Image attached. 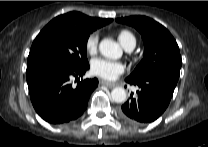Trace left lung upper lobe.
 <instances>
[{
  "label": "left lung upper lobe",
  "mask_w": 208,
  "mask_h": 147,
  "mask_svg": "<svg viewBox=\"0 0 208 147\" xmlns=\"http://www.w3.org/2000/svg\"><path fill=\"white\" fill-rule=\"evenodd\" d=\"M117 22L136 28L144 42L143 59L128 78L163 74L178 80L182 63L179 47L164 26L145 16L119 18Z\"/></svg>",
  "instance_id": "left-lung-upper-lobe-1"
}]
</instances>
